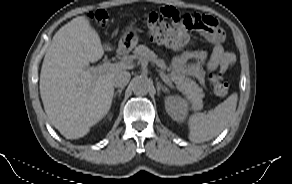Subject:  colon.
<instances>
[{
	"mask_svg": "<svg viewBox=\"0 0 292 184\" xmlns=\"http://www.w3.org/2000/svg\"><path fill=\"white\" fill-rule=\"evenodd\" d=\"M92 18L100 25H107L110 21L109 15L101 10L96 11ZM143 20L152 41L175 50L189 45V38L183 29L202 28L209 23L204 15L181 13L173 7L146 13ZM210 80L214 93L220 98L226 97L229 87L223 81L222 74H212Z\"/></svg>",
	"mask_w": 292,
	"mask_h": 184,
	"instance_id": "obj_1",
	"label": "colon"
}]
</instances>
